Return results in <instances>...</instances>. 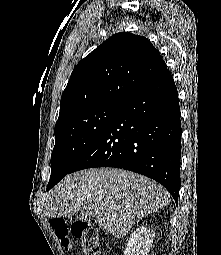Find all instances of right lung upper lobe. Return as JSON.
Wrapping results in <instances>:
<instances>
[{"mask_svg":"<svg viewBox=\"0 0 221 255\" xmlns=\"http://www.w3.org/2000/svg\"><path fill=\"white\" fill-rule=\"evenodd\" d=\"M167 69L145 37L117 33L74 68L61 97L57 123L70 114L104 103H122Z\"/></svg>","mask_w":221,"mask_h":255,"instance_id":"1","label":"right lung upper lobe"}]
</instances>
